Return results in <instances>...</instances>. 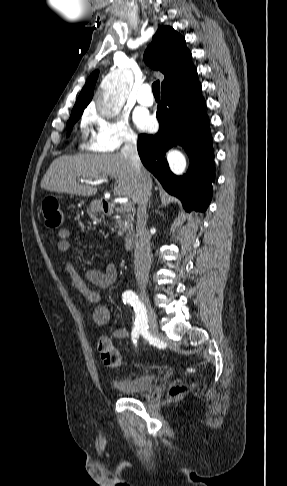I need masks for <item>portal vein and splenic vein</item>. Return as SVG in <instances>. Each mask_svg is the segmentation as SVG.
Segmentation results:
<instances>
[{"label": "portal vein and splenic vein", "mask_w": 287, "mask_h": 486, "mask_svg": "<svg viewBox=\"0 0 287 486\" xmlns=\"http://www.w3.org/2000/svg\"><path fill=\"white\" fill-rule=\"evenodd\" d=\"M105 182H107V179H97V180H94V181H88L89 184H95V185L96 184L105 183ZM121 207L124 210H130L131 209V205L128 202V199L127 198H123L122 199V201H121Z\"/></svg>", "instance_id": "18ae733b"}]
</instances>
